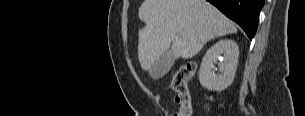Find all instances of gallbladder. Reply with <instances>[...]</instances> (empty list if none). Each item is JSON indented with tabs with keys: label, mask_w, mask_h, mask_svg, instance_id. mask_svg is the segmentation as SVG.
I'll use <instances>...</instances> for the list:
<instances>
[{
	"label": "gallbladder",
	"mask_w": 305,
	"mask_h": 116,
	"mask_svg": "<svg viewBox=\"0 0 305 116\" xmlns=\"http://www.w3.org/2000/svg\"><path fill=\"white\" fill-rule=\"evenodd\" d=\"M175 56L171 50L163 53L149 69V75L152 79L157 80L165 76L172 67Z\"/></svg>",
	"instance_id": "obj_1"
}]
</instances>
